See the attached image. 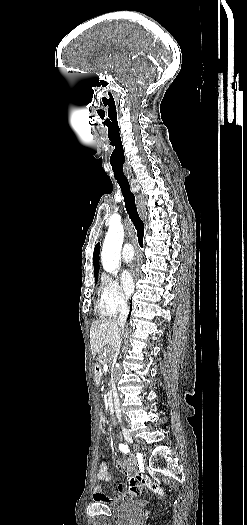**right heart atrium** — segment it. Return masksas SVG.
Wrapping results in <instances>:
<instances>
[{
  "label": "right heart atrium",
  "instance_id": "1",
  "mask_svg": "<svg viewBox=\"0 0 247 525\" xmlns=\"http://www.w3.org/2000/svg\"><path fill=\"white\" fill-rule=\"evenodd\" d=\"M99 304L109 314L116 315L122 311L127 304V296L120 289L119 283L112 275L102 277V289Z\"/></svg>",
  "mask_w": 247,
  "mask_h": 525
}]
</instances>
